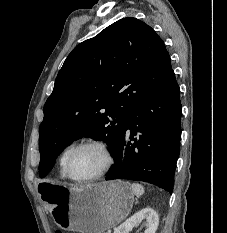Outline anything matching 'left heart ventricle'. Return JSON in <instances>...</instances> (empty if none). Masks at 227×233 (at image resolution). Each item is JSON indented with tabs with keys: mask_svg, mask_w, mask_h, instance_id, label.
Segmentation results:
<instances>
[{
	"mask_svg": "<svg viewBox=\"0 0 227 233\" xmlns=\"http://www.w3.org/2000/svg\"><path fill=\"white\" fill-rule=\"evenodd\" d=\"M103 152L94 146L76 151L70 159V172L75 178H87L97 174L105 164Z\"/></svg>",
	"mask_w": 227,
	"mask_h": 233,
	"instance_id": "1",
	"label": "left heart ventricle"
}]
</instances>
